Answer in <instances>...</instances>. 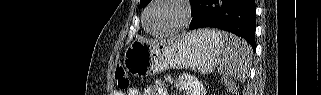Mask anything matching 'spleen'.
<instances>
[{
  "label": "spleen",
  "instance_id": "obj_1",
  "mask_svg": "<svg viewBox=\"0 0 321 95\" xmlns=\"http://www.w3.org/2000/svg\"><path fill=\"white\" fill-rule=\"evenodd\" d=\"M205 34L222 43V58L219 60L218 71L240 80L245 79L252 61V48L243 39L217 30H204Z\"/></svg>",
  "mask_w": 321,
  "mask_h": 95
}]
</instances>
